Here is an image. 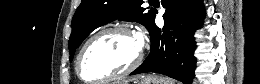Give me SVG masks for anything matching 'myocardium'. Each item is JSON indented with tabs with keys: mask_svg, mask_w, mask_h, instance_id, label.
<instances>
[{
	"mask_svg": "<svg viewBox=\"0 0 260 84\" xmlns=\"http://www.w3.org/2000/svg\"><path fill=\"white\" fill-rule=\"evenodd\" d=\"M109 32H117V33H123L126 35H130L134 38H136V35L134 33V31L132 29H130L129 27L126 26H122V25H112V26H108V27H104L100 30H98L97 32H95L94 34H92L84 43L83 47L81 48L78 56H77V62H76V71H77V75L78 77L86 82V83H96V84H102V83H107L119 78H122L128 74H130L131 72H133L134 70H136L141 63L144 60V49L142 48V46L140 45L138 54L135 58V60L123 71L107 76L105 78L102 79H98V80H88L86 79L82 73H81V67H82V61H83V57L85 55V53L87 52L88 48L90 47L91 43L98 38L99 36H101L102 34L105 33H109Z\"/></svg>",
	"mask_w": 260,
	"mask_h": 84,
	"instance_id": "f54148a6",
	"label": "myocardium"
}]
</instances>
